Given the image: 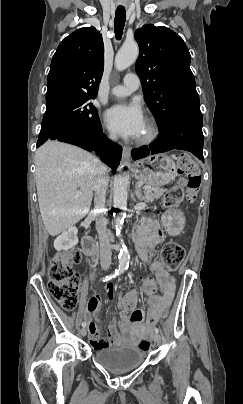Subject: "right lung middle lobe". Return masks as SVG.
Segmentation results:
<instances>
[{"label":"right lung middle lobe","instance_id":"obj_1","mask_svg":"<svg viewBox=\"0 0 243 404\" xmlns=\"http://www.w3.org/2000/svg\"><path fill=\"white\" fill-rule=\"evenodd\" d=\"M93 98L95 97L62 99L46 104L37 146L66 125L100 128L97 109L89 102Z\"/></svg>","mask_w":243,"mask_h":404}]
</instances>
